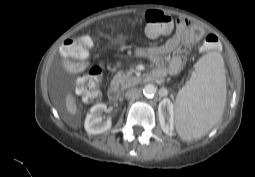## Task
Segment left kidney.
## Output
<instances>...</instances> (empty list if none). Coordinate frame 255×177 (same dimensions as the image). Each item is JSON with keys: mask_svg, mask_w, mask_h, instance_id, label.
Listing matches in <instances>:
<instances>
[{"mask_svg": "<svg viewBox=\"0 0 255 177\" xmlns=\"http://www.w3.org/2000/svg\"><path fill=\"white\" fill-rule=\"evenodd\" d=\"M159 119L163 131L172 135L174 129V106L169 99L161 101L159 108Z\"/></svg>", "mask_w": 255, "mask_h": 177, "instance_id": "1", "label": "left kidney"}]
</instances>
